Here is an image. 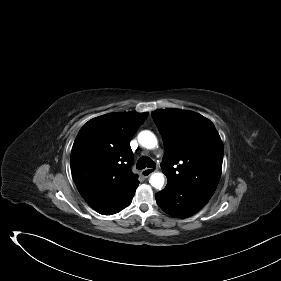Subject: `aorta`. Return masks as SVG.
<instances>
[{"label":"aorta","mask_w":281,"mask_h":281,"mask_svg":"<svg viewBox=\"0 0 281 281\" xmlns=\"http://www.w3.org/2000/svg\"><path fill=\"white\" fill-rule=\"evenodd\" d=\"M138 142L141 146L147 149H154L158 145L156 136L148 130L141 131L138 134ZM149 182L152 187L161 190L165 182V176L163 173L154 172L151 174Z\"/></svg>","instance_id":"1"}]
</instances>
